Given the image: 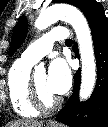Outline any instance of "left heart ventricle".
<instances>
[{
	"label": "left heart ventricle",
	"instance_id": "left-heart-ventricle-1",
	"mask_svg": "<svg viewBox=\"0 0 108 127\" xmlns=\"http://www.w3.org/2000/svg\"><path fill=\"white\" fill-rule=\"evenodd\" d=\"M46 79H47V76L45 73H40V74H37L35 77H34V80L38 86V89L40 90L41 94L43 95V97L46 99V100H52V99H55V95H53L48 89H47V86H46Z\"/></svg>",
	"mask_w": 108,
	"mask_h": 127
}]
</instances>
